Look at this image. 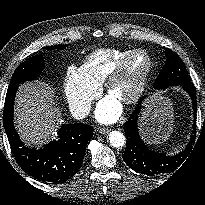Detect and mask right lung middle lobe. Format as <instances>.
<instances>
[{
  "instance_id": "dd1d6c3e",
  "label": "right lung middle lobe",
  "mask_w": 205,
  "mask_h": 205,
  "mask_svg": "<svg viewBox=\"0 0 205 205\" xmlns=\"http://www.w3.org/2000/svg\"><path fill=\"white\" fill-rule=\"evenodd\" d=\"M67 46H68L67 44L54 45V46L44 47V49L63 50ZM43 68H44L43 56L42 55L32 56L31 58L27 59L26 61H24L21 65H19L16 68V70L11 78L9 88H12L14 86H18V84H20L21 82L36 79L40 75Z\"/></svg>"
}]
</instances>
